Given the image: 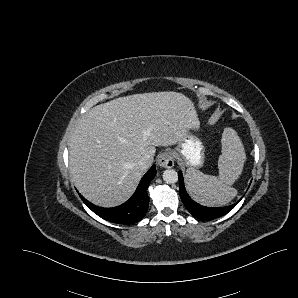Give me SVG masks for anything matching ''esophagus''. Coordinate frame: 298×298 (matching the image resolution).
Wrapping results in <instances>:
<instances>
[{
	"mask_svg": "<svg viewBox=\"0 0 298 298\" xmlns=\"http://www.w3.org/2000/svg\"><path fill=\"white\" fill-rule=\"evenodd\" d=\"M157 163L162 168H172L174 166V156L170 150L163 151L159 154Z\"/></svg>",
	"mask_w": 298,
	"mask_h": 298,
	"instance_id": "esophagus-1",
	"label": "esophagus"
}]
</instances>
